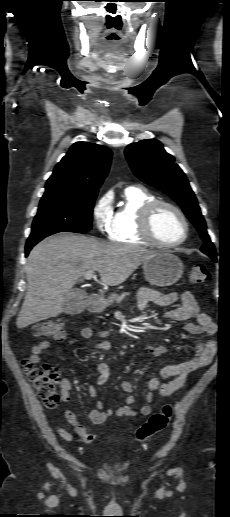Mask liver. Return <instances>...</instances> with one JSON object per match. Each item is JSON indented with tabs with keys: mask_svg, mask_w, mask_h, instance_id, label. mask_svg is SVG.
<instances>
[{
	"mask_svg": "<svg viewBox=\"0 0 230 517\" xmlns=\"http://www.w3.org/2000/svg\"><path fill=\"white\" fill-rule=\"evenodd\" d=\"M155 253L69 233L42 240L27 258L28 286L17 327L22 329L62 313L65 296L86 272L97 271L103 284L117 286Z\"/></svg>",
	"mask_w": 230,
	"mask_h": 517,
	"instance_id": "liver-1",
	"label": "liver"
}]
</instances>
